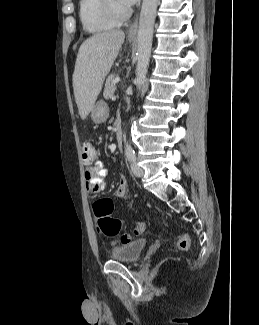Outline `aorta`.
Listing matches in <instances>:
<instances>
[{
	"label": "aorta",
	"instance_id": "obj_1",
	"mask_svg": "<svg viewBox=\"0 0 259 325\" xmlns=\"http://www.w3.org/2000/svg\"><path fill=\"white\" fill-rule=\"evenodd\" d=\"M158 0H143L137 33L136 86L141 90L149 67Z\"/></svg>",
	"mask_w": 259,
	"mask_h": 325
}]
</instances>
